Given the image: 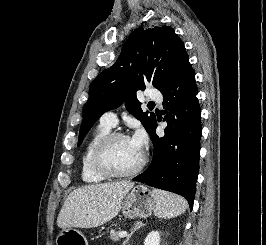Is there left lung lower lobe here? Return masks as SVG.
Returning <instances> with one entry per match:
<instances>
[{"label": "left lung lower lobe", "instance_id": "obj_1", "mask_svg": "<svg viewBox=\"0 0 266 245\" xmlns=\"http://www.w3.org/2000/svg\"><path fill=\"white\" fill-rule=\"evenodd\" d=\"M161 93L164 96L163 107L169 110L165 119L168 123L165 136L160 138L155 133V117L148 131L154 146L152 162L133 180L182 195L192 209L202 126L195 73L189 58L182 60Z\"/></svg>", "mask_w": 266, "mask_h": 245}]
</instances>
